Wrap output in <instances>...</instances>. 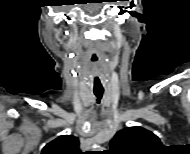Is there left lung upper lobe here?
Returning a JSON list of instances; mask_svg holds the SVG:
<instances>
[{"instance_id":"1","label":"left lung upper lobe","mask_w":190,"mask_h":154,"mask_svg":"<svg viewBox=\"0 0 190 154\" xmlns=\"http://www.w3.org/2000/svg\"><path fill=\"white\" fill-rule=\"evenodd\" d=\"M163 148L160 139L142 127H128L110 141L109 154H154Z\"/></svg>"}]
</instances>
